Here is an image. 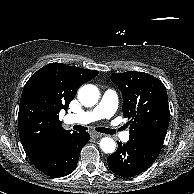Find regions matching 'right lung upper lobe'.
Segmentation results:
<instances>
[{
	"instance_id": "right-lung-upper-lobe-1",
	"label": "right lung upper lobe",
	"mask_w": 194,
	"mask_h": 194,
	"mask_svg": "<svg viewBox=\"0 0 194 194\" xmlns=\"http://www.w3.org/2000/svg\"><path fill=\"white\" fill-rule=\"evenodd\" d=\"M98 74L96 70L50 63L30 77L18 113L19 136L28 158L58 136L70 133L62 128L59 112L68 108L83 83Z\"/></svg>"
}]
</instances>
